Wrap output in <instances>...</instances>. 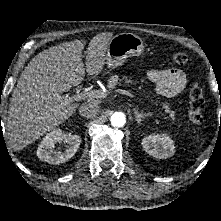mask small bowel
I'll use <instances>...</instances> for the list:
<instances>
[{
    "instance_id": "obj_1",
    "label": "small bowel",
    "mask_w": 221,
    "mask_h": 221,
    "mask_svg": "<svg viewBox=\"0 0 221 221\" xmlns=\"http://www.w3.org/2000/svg\"><path fill=\"white\" fill-rule=\"evenodd\" d=\"M146 77L155 84L156 94L163 97H175L186 86V75L178 69L148 70Z\"/></svg>"
}]
</instances>
